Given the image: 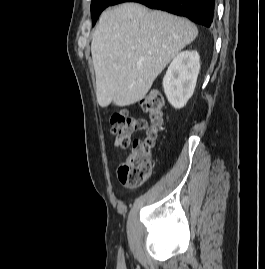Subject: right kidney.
Returning a JSON list of instances; mask_svg holds the SVG:
<instances>
[{
  "mask_svg": "<svg viewBox=\"0 0 265 269\" xmlns=\"http://www.w3.org/2000/svg\"><path fill=\"white\" fill-rule=\"evenodd\" d=\"M199 71L200 56L197 51H183L173 59L163 78V88L174 108L184 107L191 98Z\"/></svg>",
  "mask_w": 265,
  "mask_h": 269,
  "instance_id": "right-kidney-1",
  "label": "right kidney"
}]
</instances>
